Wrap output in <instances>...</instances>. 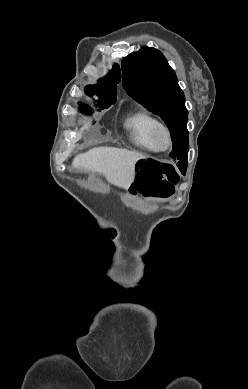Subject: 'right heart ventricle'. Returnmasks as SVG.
<instances>
[{
    "instance_id": "e07e8e85",
    "label": "right heart ventricle",
    "mask_w": 248,
    "mask_h": 389,
    "mask_svg": "<svg viewBox=\"0 0 248 389\" xmlns=\"http://www.w3.org/2000/svg\"><path fill=\"white\" fill-rule=\"evenodd\" d=\"M157 122L158 120L152 114L139 108L124 119L123 126L135 145L147 150H153L150 142V133Z\"/></svg>"
}]
</instances>
